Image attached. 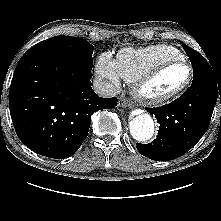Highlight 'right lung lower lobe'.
Masks as SVG:
<instances>
[{
  "mask_svg": "<svg viewBox=\"0 0 221 221\" xmlns=\"http://www.w3.org/2000/svg\"><path fill=\"white\" fill-rule=\"evenodd\" d=\"M90 70L29 49L20 59L9 91L10 114L19 139L55 159L75 153L88 135L91 115L117 105L91 87Z\"/></svg>",
  "mask_w": 221,
  "mask_h": 221,
  "instance_id": "98d812e1",
  "label": "right lung lower lobe"
}]
</instances>
